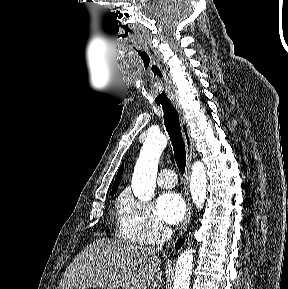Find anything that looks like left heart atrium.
<instances>
[{
	"label": "left heart atrium",
	"instance_id": "39dd6f15",
	"mask_svg": "<svg viewBox=\"0 0 288 289\" xmlns=\"http://www.w3.org/2000/svg\"><path fill=\"white\" fill-rule=\"evenodd\" d=\"M185 212V201L177 192H165L157 200V213L162 220L169 224L181 221Z\"/></svg>",
	"mask_w": 288,
	"mask_h": 289
}]
</instances>
